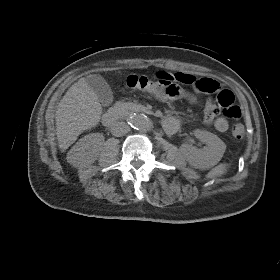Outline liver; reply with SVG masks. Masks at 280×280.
<instances>
[{
  "label": "liver",
  "instance_id": "obj_1",
  "mask_svg": "<svg viewBox=\"0 0 280 280\" xmlns=\"http://www.w3.org/2000/svg\"><path fill=\"white\" fill-rule=\"evenodd\" d=\"M102 107L94 90L81 78L64 95L56 111L59 148L65 150L85 130L95 127Z\"/></svg>",
  "mask_w": 280,
  "mask_h": 280
}]
</instances>
